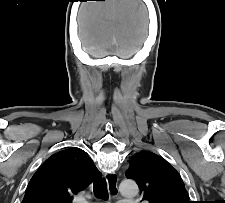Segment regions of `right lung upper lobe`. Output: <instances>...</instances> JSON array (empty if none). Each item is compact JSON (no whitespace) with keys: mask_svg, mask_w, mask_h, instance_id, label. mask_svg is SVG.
Segmentation results:
<instances>
[{"mask_svg":"<svg viewBox=\"0 0 225 203\" xmlns=\"http://www.w3.org/2000/svg\"><path fill=\"white\" fill-rule=\"evenodd\" d=\"M100 172L80 148H69L50 156L31 178L22 203H71Z\"/></svg>","mask_w":225,"mask_h":203,"instance_id":"cb5924a9","label":"right lung upper lobe"}]
</instances>
